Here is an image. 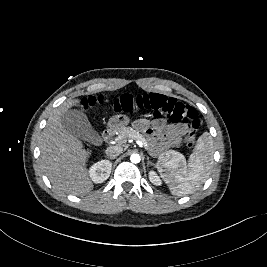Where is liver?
Wrapping results in <instances>:
<instances>
[{
    "label": "liver",
    "instance_id": "6515ba94",
    "mask_svg": "<svg viewBox=\"0 0 267 267\" xmlns=\"http://www.w3.org/2000/svg\"><path fill=\"white\" fill-rule=\"evenodd\" d=\"M79 104L71 99L60 105L50 115L40 140L41 167L57 190L72 195H81L93 189L87 161L91 150L69 133L62 125V115L69 108Z\"/></svg>",
    "mask_w": 267,
    "mask_h": 267
}]
</instances>
